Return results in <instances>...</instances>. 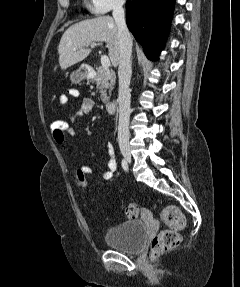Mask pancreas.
<instances>
[{
  "mask_svg": "<svg viewBox=\"0 0 240 287\" xmlns=\"http://www.w3.org/2000/svg\"><path fill=\"white\" fill-rule=\"evenodd\" d=\"M97 85V90H99L100 98L103 103H108L110 96L107 95V91L109 94L113 89L115 82H116V75L115 72L104 68L103 66H99L97 68V75L92 80Z\"/></svg>",
  "mask_w": 240,
  "mask_h": 287,
  "instance_id": "pancreas-1",
  "label": "pancreas"
}]
</instances>
